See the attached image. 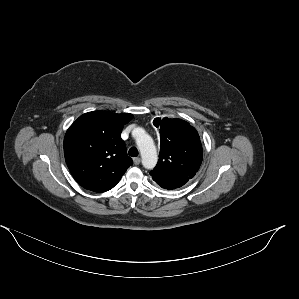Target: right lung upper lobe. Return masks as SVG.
I'll list each match as a JSON object with an SVG mask.
<instances>
[{
  "label": "right lung upper lobe",
  "instance_id": "cb5924a9",
  "mask_svg": "<svg viewBox=\"0 0 299 299\" xmlns=\"http://www.w3.org/2000/svg\"><path fill=\"white\" fill-rule=\"evenodd\" d=\"M132 114L93 111L81 115L64 137V155L75 180L85 189H112L133 164L121 139Z\"/></svg>",
  "mask_w": 299,
  "mask_h": 299
}]
</instances>
